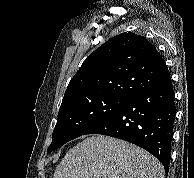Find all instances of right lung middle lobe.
Listing matches in <instances>:
<instances>
[{
  "instance_id": "right-lung-middle-lobe-1",
  "label": "right lung middle lobe",
  "mask_w": 194,
  "mask_h": 178,
  "mask_svg": "<svg viewBox=\"0 0 194 178\" xmlns=\"http://www.w3.org/2000/svg\"><path fill=\"white\" fill-rule=\"evenodd\" d=\"M126 99L91 97L71 101L60 107L52 134L50 153L84 133L120 107Z\"/></svg>"
}]
</instances>
